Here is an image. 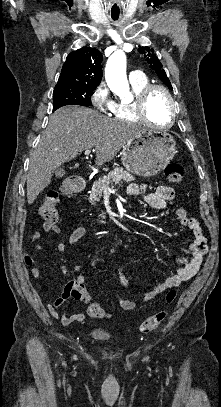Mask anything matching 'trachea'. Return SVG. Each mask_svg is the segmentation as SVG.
I'll use <instances>...</instances> for the list:
<instances>
[{
	"label": "trachea",
	"mask_w": 221,
	"mask_h": 407,
	"mask_svg": "<svg viewBox=\"0 0 221 407\" xmlns=\"http://www.w3.org/2000/svg\"><path fill=\"white\" fill-rule=\"evenodd\" d=\"M113 20H118L119 16H111Z\"/></svg>",
	"instance_id": "3493384b"
}]
</instances>
